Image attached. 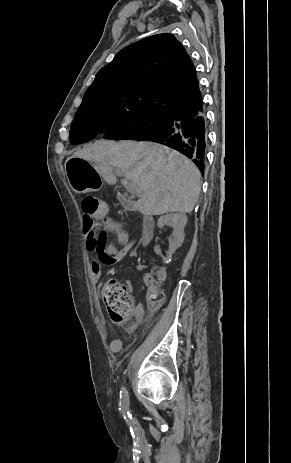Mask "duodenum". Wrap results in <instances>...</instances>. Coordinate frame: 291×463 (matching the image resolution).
Instances as JSON below:
<instances>
[{"label": "duodenum", "instance_id": "1", "mask_svg": "<svg viewBox=\"0 0 291 463\" xmlns=\"http://www.w3.org/2000/svg\"><path fill=\"white\" fill-rule=\"evenodd\" d=\"M121 205L128 209L136 211L138 206L133 204L132 200L125 193H118L117 195ZM155 221L150 216H145L143 219L142 232H141V243L142 245L148 244L154 236Z\"/></svg>", "mask_w": 291, "mask_h": 463}]
</instances>
